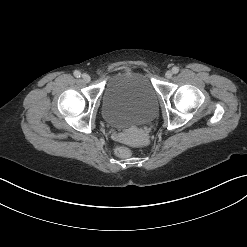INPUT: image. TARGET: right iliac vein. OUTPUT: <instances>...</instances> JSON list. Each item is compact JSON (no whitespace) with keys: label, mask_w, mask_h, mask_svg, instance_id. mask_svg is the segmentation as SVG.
Here are the masks:
<instances>
[{"label":"right iliac vein","mask_w":247,"mask_h":247,"mask_svg":"<svg viewBox=\"0 0 247 247\" xmlns=\"http://www.w3.org/2000/svg\"><path fill=\"white\" fill-rule=\"evenodd\" d=\"M82 79L85 81V82H90L91 80V77L88 75V74H83L82 75Z\"/></svg>","instance_id":"right-iliac-vein-1"}]
</instances>
